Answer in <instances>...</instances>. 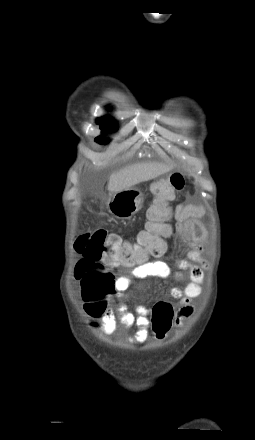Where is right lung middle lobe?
<instances>
[{
  "mask_svg": "<svg viewBox=\"0 0 255 440\" xmlns=\"http://www.w3.org/2000/svg\"><path fill=\"white\" fill-rule=\"evenodd\" d=\"M97 123L100 125V129L104 133L115 132L118 128L114 119L109 116L98 118ZM98 139H99L100 144H107L109 142V140H107L103 136L99 137Z\"/></svg>",
  "mask_w": 255,
  "mask_h": 440,
  "instance_id": "1",
  "label": "right lung middle lobe"
}]
</instances>
